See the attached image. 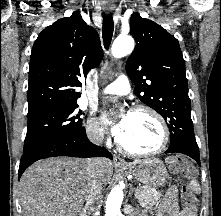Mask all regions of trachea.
<instances>
[{
	"label": "trachea",
	"mask_w": 221,
	"mask_h": 216,
	"mask_svg": "<svg viewBox=\"0 0 221 216\" xmlns=\"http://www.w3.org/2000/svg\"><path fill=\"white\" fill-rule=\"evenodd\" d=\"M113 31H114V22L112 15L109 16L103 15L102 37L104 41V47L106 49H109V46L111 44Z\"/></svg>",
	"instance_id": "1"
}]
</instances>
